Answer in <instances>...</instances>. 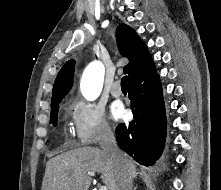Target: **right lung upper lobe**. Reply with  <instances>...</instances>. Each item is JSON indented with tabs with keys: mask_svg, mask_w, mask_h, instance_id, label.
<instances>
[{
	"mask_svg": "<svg viewBox=\"0 0 221 190\" xmlns=\"http://www.w3.org/2000/svg\"><path fill=\"white\" fill-rule=\"evenodd\" d=\"M117 45L122 56L129 59L124 67L129 84L148 79L156 74L153 60L148 53L146 44L136 32L125 24H120L116 31ZM75 61L69 60L59 71L52 90L51 103L61 100L73 84Z\"/></svg>",
	"mask_w": 221,
	"mask_h": 190,
	"instance_id": "1",
	"label": "right lung upper lobe"
}]
</instances>
